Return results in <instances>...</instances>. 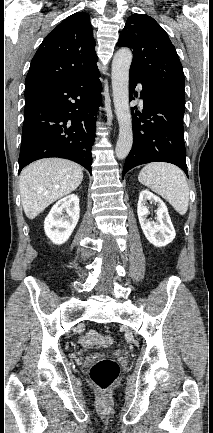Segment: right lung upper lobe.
<instances>
[{"instance_id": "right-lung-upper-lobe-1", "label": "right lung upper lobe", "mask_w": 213, "mask_h": 433, "mask_svg": "<svg viewBox=\"0 0 213 433\" xmlns=\"http://www.w3.org/2000/svg\"><path fill=\"white\" fill-rule=\"evenodd\" d=\"M90 16L77 12L49 33L35 53L25 84H63L97 68Z\"/></svg>"}]
</instances>
